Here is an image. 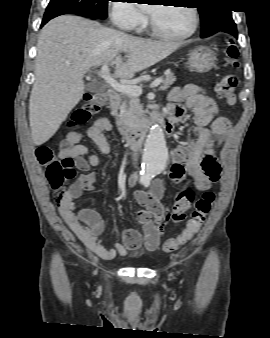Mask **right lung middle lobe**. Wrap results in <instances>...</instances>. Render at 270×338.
<instances>
[{"instance_id":"right-lung-middle-lobe-1","label":"right lung middle lobe","mask_w":270,"mask_h":338,"mask_svg":"<svg viewBox=\"0 0 270 338\" xmlns=\"http://www.w3.org/2000/svg\"><path fill=\"white\" fill-rule=\"evenodd\" d=\"M110 0H50L45 14H79L104 19L107 17V4Z\"/></svg>"}]
</instances>
